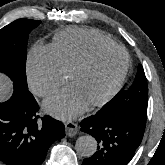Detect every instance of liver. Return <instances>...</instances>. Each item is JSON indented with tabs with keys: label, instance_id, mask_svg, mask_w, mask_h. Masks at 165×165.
<instances>
[{
	"label": "liver",
	"instance_id": "6515ba94",
	"mask_svg": "<svg viewBox=\"0 0 165 165\" xmlns=\"http://www.w3.org/2000/svg\"><path fill=\"white\" fill-rule=\"evenodd\" d=\"M12 93V83L4 74H0V101H5Z\"/></svg>",
	"mask_w": 165,
	"mask_h": 165
}]
</instances>
